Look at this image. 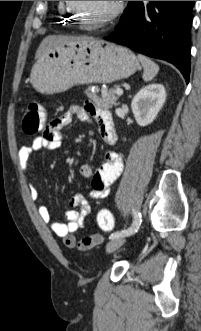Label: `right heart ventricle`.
I'll use <instances>...</instances> for the list:
<instances>
[{
    "label": "right heart ventricle",
    "instance_id": "1",
    "mask_svg": "<svg viewBox=\"0 0 201 331\" xmlns=\"http://www.w3.org/2000/svg\"><path fill=\"white\" fill-rule=\"evenodd\" d=\"M58 11L61 19L70 23H75L76 17L73 12L68 8V1H59Z\"/></svg>",
    "mask_w": 201,
    "mask_h": 331
}]
</instances>
